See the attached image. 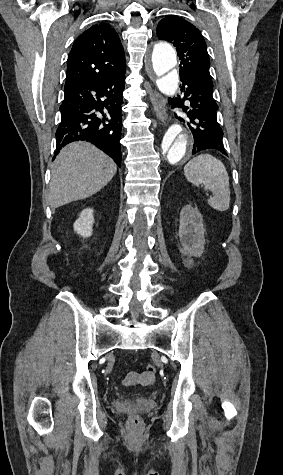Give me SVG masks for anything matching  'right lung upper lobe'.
<instances>
[{
	"label": "right lung upper lobe",
	"instance_id": "right-lung-upper-lobe-1",
	"mask_svg": "<svg viewBox=\"0 0 283 475\" xmlns=\"http://www.w3.org/2000/svg\"><path fill=\"white\" fill-rule=\"evenodd\" d=\"M125 72L124 50L118 34L109 24L100 23L75 40L68 58L65 86L103 81Z\"/></svg>",
	"mask_w": 283,
	"mask_h": 475
}]
</instances>
